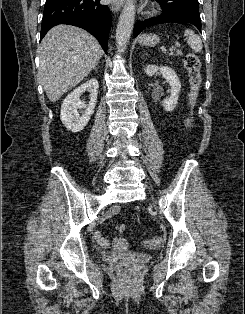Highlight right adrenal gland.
<instances>
[{"mask_svg":"<svg viewBox=\"0 0 245 314\" xmlns=\"http://www.w3.org/2000/svg\"><path fill=\"white\" fill-rule=\"evenodd\" d=\"M94 71H97V67L94 68Z\"/></svg>","mask_w":245,"mask_h":314,"instance_id":"obj_1","label":"right adrenal gland"}]
</instances>
